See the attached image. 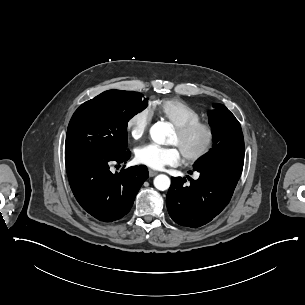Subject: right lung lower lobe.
<instances>
[{
    "instance_id": "obj_1",
    "label": "right lung lower lobe",
    "mask_w": 305,
    "mask_h": 305,
    "mask_svg": "<svg viewBox=\"0 0 305 305\" xmlns=\"http://www.w3.org/2000/svg\"><path fill=\"white\" fill-rule=\"evenodd\" d=\"M129 158V150L110 157L84 153L65 155L66 171L75 198L99 221L112 222L124 217L149 176L145 166L129 167L115 174L110 171L111 162L126 163Z\"/></svg>"
}]
</instances>
